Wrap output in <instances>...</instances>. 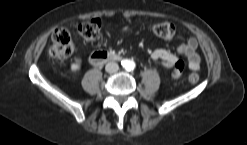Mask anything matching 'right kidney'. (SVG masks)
<instances>
[{"label": "right kidney", "mask_w": 247, "mask_h": 145, "mask_svg": "<svg viewBox=\"0 0 247 145\" xmlns=\"http://www.w3.org/2000/svg\"><path fill=\"white\" fill-rule=\"evenodd\" d=\"M80 69V59H76L75 63L71 64V70L76 72Z\"/></svg>", "instance_id": "right-kidney-1"}]
</instances>
